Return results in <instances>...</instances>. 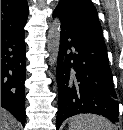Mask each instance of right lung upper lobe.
<instances>
[{
  "instance_id": "right-lung-upper-lobe-1",
  "label": "right lung upper lobe",
  "mask_w": 123,
  "mask_h": 130,
  "mask_svg": "<svg viewBox=\"0 0 123 130\" xmlns=\"http://www.w3.org/2000/svg\"><path fill=\"white\" fill-rule=\"evenodd\" d=\"M28 13L27 0H1V31L24 27Z\"/></svg>"
}]
</instances>
